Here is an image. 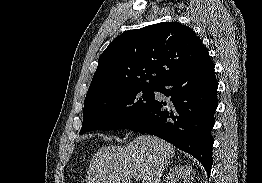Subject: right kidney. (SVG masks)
<instances>
[{
    "instance_id": "obj_1",
    "label": "right kidney",
    "mask_w": 262,
    "mask_h": 183,
    "mask_svg": "<svg viewBox=\"0 0 262 183\" xmlns=\"http://www.w3.org/2000/svg\"><path fill=\"white\" fill-rule=\"evenodd\" d=\"M194 171L191 166H175L166 177V183H176L183 180L184 183H193Z\"/></svg>"
}]
</instances>
